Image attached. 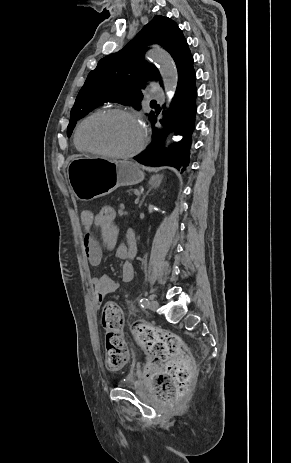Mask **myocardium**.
I'll return each mask as SVG.
<instances>
[{"label":"myocardium","instance_id":"myocardium-1","mask_svg":"<svg viewBox=\"0 0 291 463\" xmlns=\"http://www.w3.org/2000/svg\"><path fill=\"white\" fill-rule=\"evenodd\" d=\"M112 115H122V116L128 117L132 119L135 123H137V125L140 127L141 138H140L138 145L133 150L128 151V152H112L109 150L92 147L83 141L82 129L86 125V123H88L91 119L96 118V117L112 116ZM147 139H148L147 130L144 124L142 123V121L140 120V118L138 117V115L134 113L133 111L129 109H125V108H111L107 110H101V111L94 112L90 114L89 116H87L86 118H84L80 122V124L78 125L76 129V133H75V141L77 145L84 151L111 157V158H118V159L131 158V157L138 155L145 147L147 143Z\"/></svg>","mask_w":291,"mask_h":463}]
</instances>
